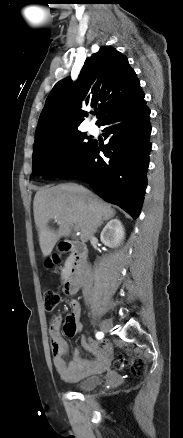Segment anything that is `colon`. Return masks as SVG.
Segmentation results:
<instances>
[{
    "mask_svg": "<svg viewBox=\"0 0 183 438\" xmlns=\"http://www.w3.org/2000/svg\"><path fill=\"white\" fill-rule=\"evenodd\" d=\"M43 302L44 308L47 311H53L58 303H59V295L53 291L52 289H45L43 292ZM65 334L68 336H73L76 333V328L73 324H65L64 327ZM127 363V360L124 357L119 358L115 365L117 368H123ZM132 371L137 376H141L144 373V363L141 360L135 361L132 363Z\"/></svg>",
    "mask_w": 183,
    "mask_h": 438,
    "instance_id": "5ec220e1",
    "label": "colon"
}]
</instances>
